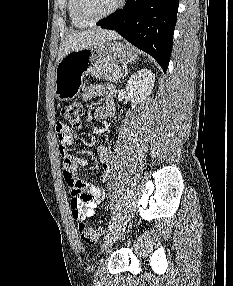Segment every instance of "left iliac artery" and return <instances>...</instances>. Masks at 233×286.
Segmentation results:
<instances>
[{"label": "left iliac artery", "mask_w": 233, "mask_h": 286, "mask_svg": "<svg viewBox=\"0 0 233 286\" xmlns=\"http://www.w3.org/2000/svg\"><path fill=\"white\" fill-rule=\"evenodd\" d=\"M116 221H117V218L116 217H112L110 223H109V226H108V230H111L114 225L116 224Z\"/></svg>", "instance_id": "obj_1"}]
</instances>
